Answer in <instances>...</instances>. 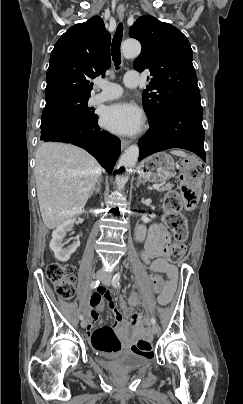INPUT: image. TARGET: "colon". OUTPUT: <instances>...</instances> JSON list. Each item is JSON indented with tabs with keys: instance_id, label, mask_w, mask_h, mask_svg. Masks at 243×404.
Returning <instances> with one entry per match:
<instances>
[{
	"instance_id": "1",
	"label": "colon",
	"mask_w": 243,
	"mask_h": 404,
	"mask_svg": "<svg viewBox=\"0 0 243 404\" xmlns=\"http://www.w3.org/2000/svg\"><path fill=\"white\" fill-rule=\"evenodd\" d=\"M180 189L168 192L163 201L164 221L174 236V241L168 247L170 262L180 260L186 251L187 223L182 215L183 208L191 210L197 205L201 195L202 169L194 159H186L181 164ZM46 275L55 285L58 296L69 299L74 294L73 266L53 262L46 268ZM151 286L155 293L163 289V279L156 274L151 275ZM138 294L134 293L128 299H122L120 306L126 314H131L138 304ZM94 349L112 353L120 350L121 342L111 326L97 328L91 335ZM136 349L144 354L152 351V342L147 338L137 341Z\"/></svg>"
}]
</instances>
